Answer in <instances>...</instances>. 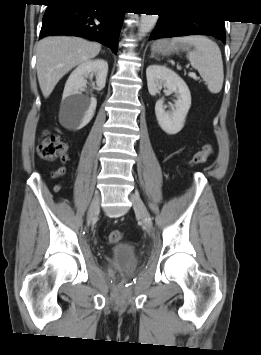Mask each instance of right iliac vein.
<instances>
[{
  "label": "right iliac vein",
  "mask_w": 261,
  "mask_h": 355,
  "mask_svg": "<svg viewBox=\"0 0 261 355\" xmlns=\"http://www.w3.org/2000/svg\"><path fill=\"white\" fill-rule=\"evenodd\" d=\"M99 208H100V196H99V194H96L94 196V198L92 199V202L90 204V207H89V210L87 213L88 224L91 222V220L94 218V216L98 215Z\"/></svg>",
  "instance_id": "1"
}]
</instances>
